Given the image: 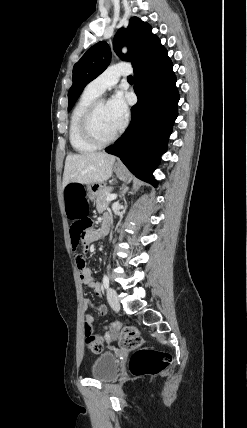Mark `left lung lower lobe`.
<instances>
[{
    "instance_id": "obj_1",
    "label": "left lung lower lobe",
    "mask_w": 247,
    "mask_h": 428,
    "mask_svg": "<svg viewBox=\"0 0 247 428\" xmlns=\"http://www.w3.org/2000/svg\"><path fill=\"white\" fill-rule=\"evenodd\" d=\"M173 64L164 49L134 69L138 102L120 140L106 148L139 179L157 186L153 176L178 116L179 93Z\"/></svg>"
}]
</instances>
